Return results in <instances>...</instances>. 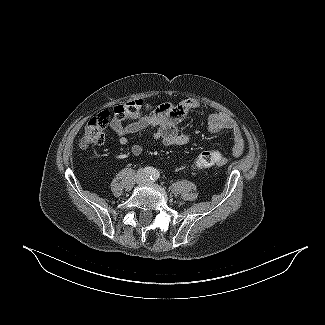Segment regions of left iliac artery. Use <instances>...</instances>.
Returning a JSON list of instances; mask_svg holds the SVG:
<instances>
[{"label":"left iliac artery","instance_id":"44dca946","mask_svg":"<svg viewBox=\"0 0 325 325\" xmlns=\"http://www.w3.org/2000/svg\"><path fill=\"white\" fill-rule=\"evenodd\" d=\"M159 176H160L159 172L154 171V173L152 174V176H150V178H151V180L156 181V180H158Z\"/></svg>","mask_w":325,"mask_h":325}]
</instances>
